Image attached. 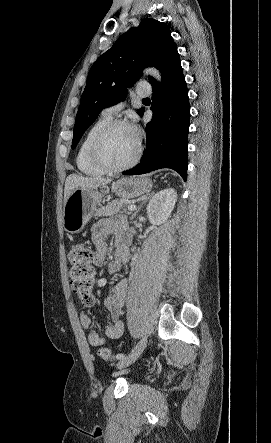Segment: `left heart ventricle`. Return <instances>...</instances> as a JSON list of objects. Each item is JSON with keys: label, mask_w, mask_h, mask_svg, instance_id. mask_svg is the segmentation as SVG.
<instances>
[{"label": "left heart ventricle", "mask_w": 271, "mask_h": 443, "mask_svg": "<svg viewBox=\"0 0 271 443\" xmlns=\"http://www.w3.org/2000/svg\"><path fill=\"white\" fill-rule=\"evenodd\" d=\"M134 132L124 126L115 128L107 137L104 144V155L114 166L126 163L136 151Z\"/></svg>", "instance_id": "obj_1"}]
</instances>
